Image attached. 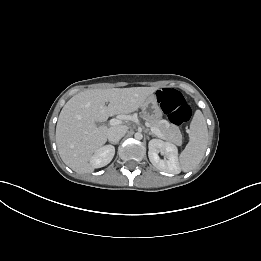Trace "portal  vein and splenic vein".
Returning <instances> with one entry per match:
<instances>
[{"label":"portal vein and splenic vein","mask_w":261,"mask_h":261,"mask_svg":"<svg viewBox=\"0 0 261 261\" xmlns=\"http://www.w3.org/2000/svg\"><path fill=\"white\" fill-rule=\"evenodd\" d=\"M109 123H110L111 126H116V125L121 124V120H120V119H117V118H113V119L110 120ZM151 131H152L155 135H157V136H160V135H161L160 130L157 129V128H155V127H152V128H151Z\"/></svg>","instance_id":"1"}]
</instances>
